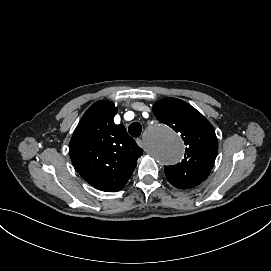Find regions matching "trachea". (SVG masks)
Wrapping results in <instances>:
<instances>
[{
	"label": "trachea",
	"instance_id": "1",
	"mask_svg": "<svg viewBox=\"0 0 271 271\" xmlns=\"http://www.w3.org/2000/svg\"><path fill=\"white\" fill-rule=\"evenodd\" d=\"M128 132L132 137H139L142 132V126L139 122H133L128 127Z\"/></svg>",
	"mask_w": 271,
	"mask_h": 271
}]
</instances>
